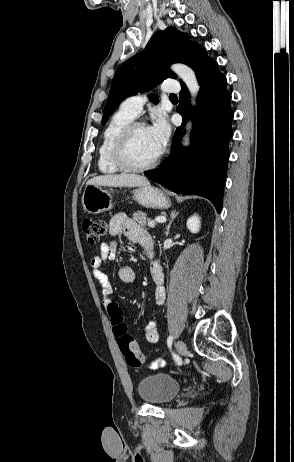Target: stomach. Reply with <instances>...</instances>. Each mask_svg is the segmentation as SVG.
<instances>
[{
    "label": "stomach",
    "instance_id": "obj_1",
    "mask_svg": "<svg viewBox=\"0 0 294 462\" xmlns=\"http://www.w3.org/2000/svg\"><path fill=\"white\" fill-rule=\"evenodd\" d=\"M133 198L146 208L167 209L170 199L158 188L151 185L140 186L133 191ZM82 204L84 210L91 214H99L113 209L112 192L99 185H87Z\"/></svg>",
    "mask_w": 294,
    "mask_h": 462
}]
</instances>
